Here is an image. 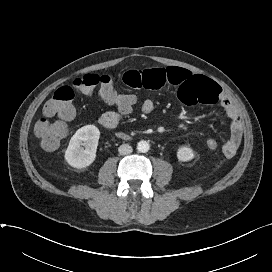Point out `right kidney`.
<instances>
[{"mask_svg":"<svg viewBox=\"0 0 272 272\" xmlns=\"http://www.w3.org/2000/svg\"><path fill=\"white\" fill-rule=\"evenodd\" d=\"M99 137L100 131L95 125H86L78 129L71 137L65 152L66 162L77 169L90 166L96 158Z\"/></svg>","mask_w":272,"mask_h":272,"instance_id":"1","label":"right kidney"}]
</instances>
